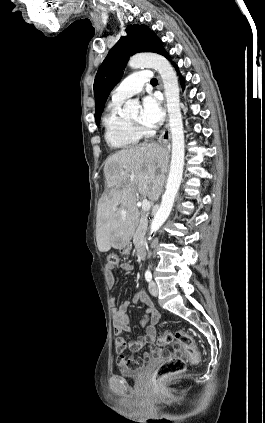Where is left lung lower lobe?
<instances>
[{"label":"left lung lower lobe","mask_w":265,"mask_h":423,"mask_svg":"<svg viewBox=\"0 0 265 423\" xmlns=\"http://www.w3.org/2000/svg\"><path fill=\"white\" fill-rule=\"evenodd\" d=\"M163 56H165V57H169V55H168V53L167 52H165V54L163 55ZM175 68L176 69H178V67L177 66H175ZM180 79H181V84L183 85V78L182 77H180Z\"/></svg>","instance_id":"0a47b994"}]
</instances>
